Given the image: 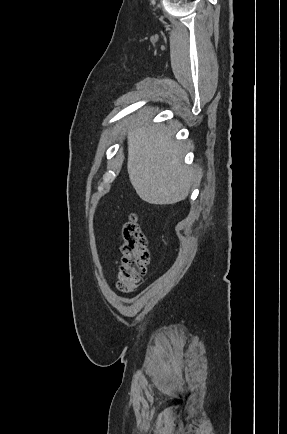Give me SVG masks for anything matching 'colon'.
Segmentation results:
<instances>
[{
  "label": "colon",
  "instance_id": "1",
  "mask_svg": "<svg viewBox=\"0 0 287 434\" xmlns=\"http://www.w3.org/2000/svg\"><path fill=\"white\" fill-rule=\"evenodd\" d=\"M122 262L118 270L119 290L128 293L137 288L150 262L148 241L136 215H130L122 228Z\"/></svg>",
  "mask_w": 287,
  "mask_h": 434
}]
</instances>
